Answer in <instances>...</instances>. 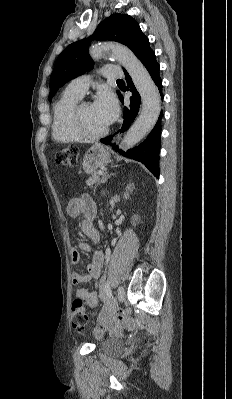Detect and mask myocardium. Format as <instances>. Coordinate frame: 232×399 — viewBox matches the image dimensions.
Masks as SVG:
<instances>
[{"label": "myocardium", "instance_id": "myocardium-1", "mask_svg": "<svg viewBox=\"0 0 232 399\" xmlns=\"http://www.w3.org/2000/svg\"><path fill=\"white\" fill-rule=\"evenodd\" d=\"M90 106L89 103L87 102H82L79 105H77L73 111V116H72V126L75 131V133L82 139L86 141H99L103 138H105L109 133H110V128H108L106 131L100 133V134H90L82 126L81 122V111L84 107Z\"/></svg>", "mask_w": 232, "mask_h": 399}]
</instances>
